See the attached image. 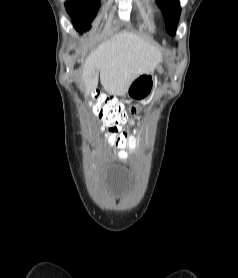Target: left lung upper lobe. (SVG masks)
<instances>
[{"instance_id":"1","label":"left lung upper lobe","mask_w":238,"mask_h":278,"mask_svg":"<svg viewBox=\"0 0 238 278\" xmlns=\"http://www.w3.org/2000/svg\"><path fill=\"white\" fill-rule=\"evenodd\" d=\"M165 17L166 30L170 35H175L176 26L180 17V6L177 0H158Z\"/></svg>"}]
</instances>
